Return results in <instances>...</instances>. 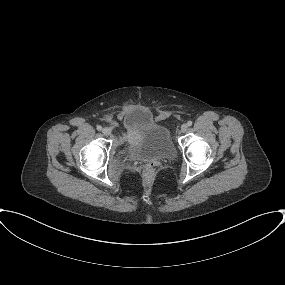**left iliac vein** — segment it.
I'll list each match as a JSON object with an SVG mask.
<instances>
[{
    "label": "left iliac vein",
    "mask_w": 285,
    "mask_h": 285,
    "mask_svg": "<svg viewBox=\"0 0 285 285\" xmlns=\"http://www.w3.org/2000/svg\"><path fill=\"white\" fill-rule=\"evenodd\" d=\"M187 129H188L187 124H182V125H181V131H182V132H186Z\"/></svg>",
    "instance_id": "obj_1"
}]
</instances>
